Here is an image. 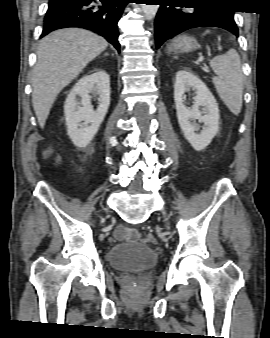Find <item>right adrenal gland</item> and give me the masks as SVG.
<instances>
[{
    "mask_svg": "<svg viewBox=\"0 0 270 338\" xmlns=\"http://www.w3.org/2000/svg\"><path fill=\"white\" fill-rule=\"evenodd\" d=\"M104 55L107 56V55H109V54H108V53H105Z\"/></svg>",
    "mask_w": 270,
    "mask_h": 338,
    "instance_id": "2a0ac1e0",
    "label": "right adrenal gland"
}]
</instances>
